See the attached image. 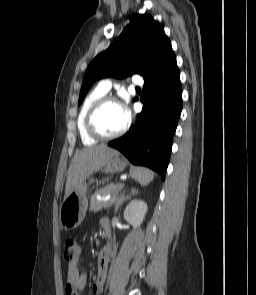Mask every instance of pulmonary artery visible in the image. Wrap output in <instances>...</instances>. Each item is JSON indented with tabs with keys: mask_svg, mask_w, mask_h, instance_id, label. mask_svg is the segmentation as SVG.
<instances>
[{
	"mask_svg": "<svg viewBox=\"0 0 256 295\" xmlns=\"http://www.w3.org/2000/svg\"><path fill=\"white\" fill-rule=\"evenodd\" d=\"M113 80L112 79H103L99 82L98 84V88L104 92V93H108L111 88H112V85H113ZM132 84L136 85V86H141L143 85V79L140 75L138 74H135L133 75L132 77V80H131Z\"/></svg>",
	"mask_w": 256,
	"mask_h": 295,
	"instance_id": "1",
	"label": "pulmonary artery"
}]
</instances>
